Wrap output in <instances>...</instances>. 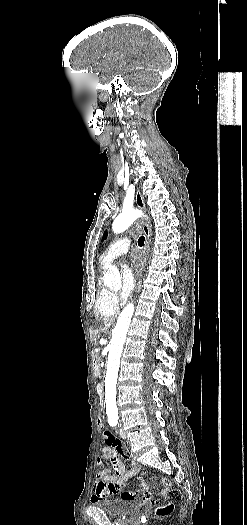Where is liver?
I'll return each mask as SVG.
<instances>
[{"instance_id": "obj_1", "label": "liver", "mask_w": 247, "mask_h": 525, "mask_svg": "<svg viewBox=\"0 0 247 525\" xmlns=\"http://www.w3.org/2000/svg\"><path fill=\"white\" fill-rule=\"evenodd\" d=\"M113 321H105V325H104V329L105 331H107V329H109V327H111Z\"/></svg>"}]
</instances>
